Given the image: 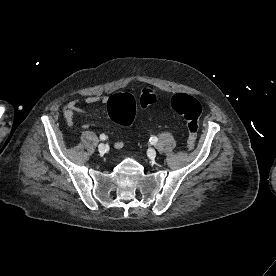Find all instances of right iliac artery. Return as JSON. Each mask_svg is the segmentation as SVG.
I'll list each match as a JSON object with an SVG mask.
<instances>
[{"mask_svg":"<svg viewBox=\"0 0 276 276\" xmlns=\"http://www.w3.org/2000/svg\"><path fill=\"white\" fill-rule=\"evenodd\" d=\"M106 138H107V137H106L104 134H101V135H100V139H101V140H106Z\"/></svg>","mask_w":276,"mask_h":276,"instance_id":"obj_1","label":"right iliac artery"}]
</instances>
